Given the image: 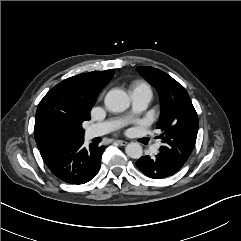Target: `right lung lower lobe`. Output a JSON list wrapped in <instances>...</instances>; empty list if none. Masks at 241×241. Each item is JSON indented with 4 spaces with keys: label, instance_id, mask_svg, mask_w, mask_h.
<instances>
[{
    "label": "right lung lower lobe",
    "instance_id": "obj_1",
    "mask_svg": "<svg viewBox=\"0 0 241 241\" xmlns=\"http://www.w3.org/2000/svg\"><path fill=\"white\" fill-rule=\"evenodd\" d=\"M83 140L65 144L44 162L49 170L60 180L70 184H84L93 179L99 171L104 146L90 144L83 147Z\"/></svg>",
    "mask_w": 241,
    "mask_h": 241
}]
</instances>
